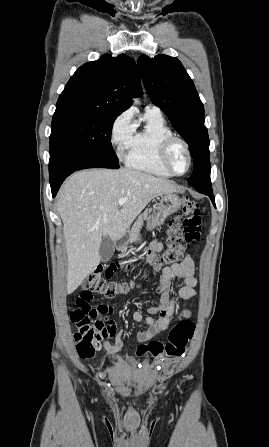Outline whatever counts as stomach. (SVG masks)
<instances>
[{
  "instance_id": "obj_1",
  "label": "stomach",
  "mask_w": 269,
  "mask_h": 447,
  "mask_svg": "<svg viewBox=\"0 0 269 447\" xmlns=\"http://www.w3.org/2000/svg\"><path fill=\"white\" fill-rule=\"evenodd\" d=\"M159 198V204L157 206V212H154L153 216L147 220L148 229H153L156 225L163 224L165 218L178 212L179 208L182 206V200L176 194H161L157 196ZM129 237H123L122 241L118 243V249H125L128 247Z\"/></svg>"
}]
</instances>
